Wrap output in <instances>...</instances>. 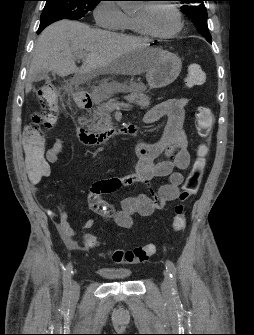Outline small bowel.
I'll return each instance as SVG.
<instances>
[{
    "label": "small bowel",
    "instance_id": "small-bowel-1",
    "mask_svg": "<svg viewBox=\"0 0 254 335\" xmlns=\"http://www.w3.org/2000/svg\"><path fill=\"white\" fill-rule=\"evenodd\" d=\"M187 104V98L173 97L152 107L145 115V123H155L164 116L168 120L157 140L152 142L141 138L135 140L138 156L135 173L105 178L91 186L88 198L89 208L104 221L114 223L122 229H129L133 225L134 216H150L156 210L164 208L168 202L179 198L180 187L184 182L182 171L190 163L188 138L183 128ZM63 148V140L56 138L47 149L44 159H47L50 168L51 164L59 160ZM157 177H166L168 181L149 195L139 194L124 198L120 208H116L104 198L105 194L136 184H147ZM41 179L43 178H29L33 184ZM50 216L57 218L56 227L65 245L69 249H78L76 233L68 222V214L64 208H60L58 215L50 212ZM94 223L93 219H88L84 226L91 228Z\"/></svg>",
    "mask_w": 254,
    "mask_h": 335
}]
</instances>
